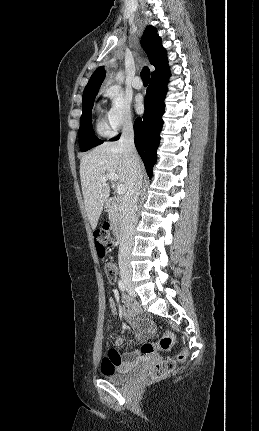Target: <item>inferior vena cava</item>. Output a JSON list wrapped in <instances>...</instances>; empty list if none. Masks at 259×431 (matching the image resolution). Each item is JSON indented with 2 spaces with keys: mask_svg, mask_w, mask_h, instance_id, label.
Segmentation results:
<instances>
[{
  "mask_svg": "<svg viewBox=\"0 0 259 431\" xmlns=\"http://www.w3.org/2000/svg\"><path fill=\"white\" fill-rule=\"evenodd\" d=\"M119 146L124 151L125 161L130 172V185L123 201V232L119 246L120 265H128L134 244V231L137 223L136 204L142 187L140 158L134 145V128L131 119L125 121Z\"/></svg>",
  "mask_w": 259,
  "mask_h": 431,
  "instance_id": "602c4592",
  "label": "inferior vena cava"
}]
</instances>
